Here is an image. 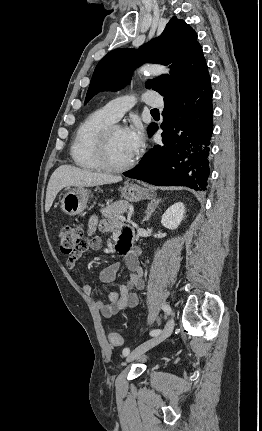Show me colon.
Listing matches in <instances>:
<instances>
[{
  "label": "colon",
  "instance_id": "obj_1",
  "mask_svg": "<svg viewBox=\"0 0 262 431\" xmlns=\"http://www.w3.org/2000/svg\"><path fill=\"white\" fill-rule=\"evenodd\" d=\"M60 249L63 254L73 257L82 254L99 243L97 236L85 235L82 227L77 225H64L59 232ZM108 341L111 345L122 344V337L116 331L108 333Z\"/></svg>",
  "mask_w": 262,
  "mask_h": 431
}]
</instances>
